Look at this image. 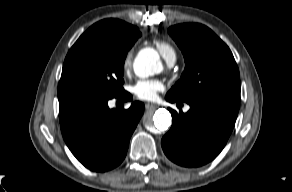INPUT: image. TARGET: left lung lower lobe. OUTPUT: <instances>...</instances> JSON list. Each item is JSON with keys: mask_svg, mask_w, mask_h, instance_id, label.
<instances>
[{"mask_svg": "<svg viewBox=\"0 0 292 192\" xmlns=\"http://www.w3.org/2000/svg\"><path fill=\"white\" fill-rule=\"evenodd\" d=\"M173 103L178 100L166 96ZM187 113L168 108L173 124L161 145L165 155L183 167H199L218 156L233 130L240 101L200 99L186 102Z\"/></svg>", "mask_w": 292, "mask_h": 192, "instance_id": "obj_1", "label": "left lung lower lobe"}]
</instances>
